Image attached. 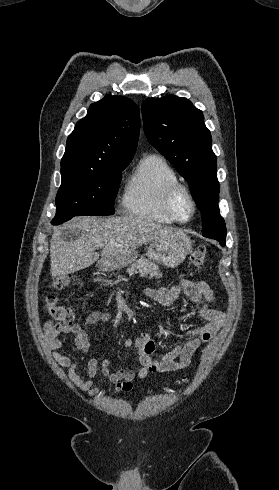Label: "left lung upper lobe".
Returning <instances> with one entry per match:
<instances>
[{
	"instance_id": "obj_1",
	"label": "left lung upper lobe",
	"mask_w": 279,
	"mask_h": 490,
	"mask_svg": "<svg viewBox=\"0 0 279 490\" xmlns=\"http://www.w3.org/2000/svg\"><path fill=\"white\" fill-rule=\"evenodd\" d=\"M147 139L190 184L201 211L202 235L226 242V226L218 206L217 158L202 111L174 95L147 98L142 103Z\"/></svg>"
}]
</instances>
